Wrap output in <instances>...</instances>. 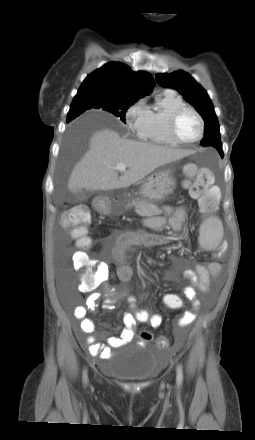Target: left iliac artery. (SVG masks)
Masks as SVG:
<instances>
[{
    "instance_id": "1",
    "label": "left iliac artery",
    "mask_w": 255,
    "mask_h": 440,
    "mask_svg": "<svg viewBox=\"0 0 255 440\" xmlns=\"http://www.w3.org/2000/svg\"><path fill=\"white\" fill-rule=\"evenodd\" d=\"M183 380V373H182V369L180 366L177 367V383L178 385H181Z\"/></svg>"
}]
</instances>
